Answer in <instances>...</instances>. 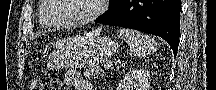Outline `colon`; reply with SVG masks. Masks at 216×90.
<instances>
[{
    "instance_id": "5ec220e1",
    "label": "colon",
    "mask_w": 216,
    "mask_h": 90,
    "mask_svg": "<svg viewBox=\"0 0 216 90\" xmlns=\"http://www.w3.org/2000/svg\"><path fill=\"white\" fill-rule=\"evenodd\" d=\"M30 90H44V83L39 75L32 78L30 82Z\"/></svg>"
}]
</instances>
